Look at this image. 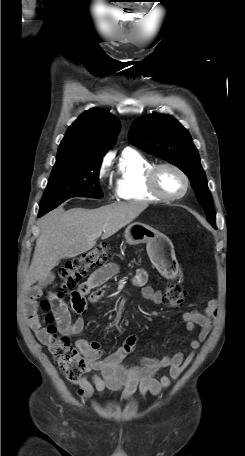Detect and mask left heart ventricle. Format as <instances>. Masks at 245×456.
Returning <instances> with one entry per match:
<instances>
[{
  "label": "left heart ventricle",
  "instance_id": "b2bd125f",
  "mask_svg": "<svg viewBox=\"0 0 245 456\" xmlns=\"http://www.w3.org/2000/svg\"><path fill=\"white\" fill-rule=\"evenodd\" d=\"M157 184L160 190L168 195H178L184 188L181 176L170 168H162L158 172Z\"/></svg>",
  "mask_w": 245,
  "mask_h": 456
}]
</instances>
